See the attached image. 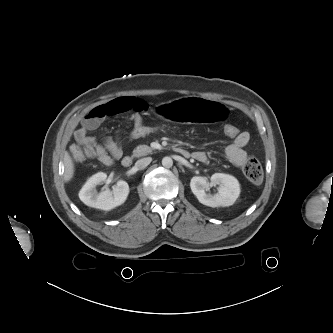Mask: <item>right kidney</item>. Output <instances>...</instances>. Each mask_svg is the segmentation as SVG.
<instances>
[{
	"instance_id": "obj_1",
	"label": "right kidney",
	"mask_w": 333,
	"mask_h": 333,
	"mask_svg": "<svg viewBox=\"0 0 333 333\" xmlns=\"http://www.w3.org/2000/svg\"><path fill=\"white\" fill-rule=\"evenodd\" d=\"M107 174L99 172L90 177L79 192L80 200L87 206L109 211L123 204L129 194V186L125 181H118L112 191L97 193L95 187L105 182Z\"/></svg>"
}]
</instances>
